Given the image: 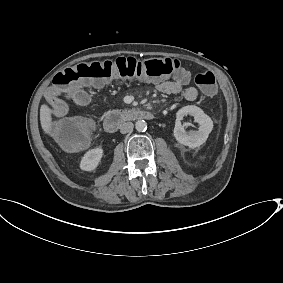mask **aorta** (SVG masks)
<instances>
[{"label":"aorta","instance_id":"762f6f07","mask_svg":"<svg viewBox=\"0 0 283 283\" xmlns=\"http://www.w3.org/2000/svg\"><path fill=\"white\" fill-rule=\"evenodd\" d=\"M135 128L138 132H144L147 129V123L144 120H138L135 123Z\"/></svg>","mask_w":283,"mask_h":283}]
</instances>
